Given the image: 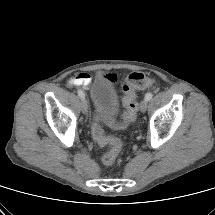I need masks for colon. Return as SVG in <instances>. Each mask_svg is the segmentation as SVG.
Wrapping results in <instances>:
<instances>
[{
	"instance_id": "colon-1",
	"label": "colon",
	"mask_w": 215,
	"mask_h": 215,
	"mask_svg": "<svg viewBox=\"0 0 215 215\" xmlns=\"http://www.w3.org/2000/svg\"><path fill=\"white\" fill-rule=\"evenodd\" d=\"M152 84L153 79L147 77L143 73L135 72L128 76L127 82L122 87L125 112L122 122L120 123L121 126L128 125L137 117L138 102L136 100V90L147 88ZM92 134L95 141L100 146L109 147V150L102 157V162L106 166L112 165L121 151V140L117 137L106 135L103 128L97 122L93 124Z\"/></svg>"
}]
</instances>
